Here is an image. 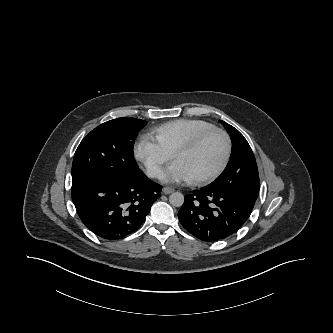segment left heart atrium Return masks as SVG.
I'll return each instance as SVG.
<instances>
[{"label":"left heart atrium","mask_w":333,"mask_h":333,"mask_svg":"<svg viewBox=\"0 0 333 333\" xmlns=\"http://www.w3.org/2000/svg\"><path fill=\"white\" fill-rule=\"evenodd\" d=\"M191 179L187 171L177 162H174L165 173V180L168 182H185Z\"/></svg>","instance_id":"39dd6f15"}]
</instances>
